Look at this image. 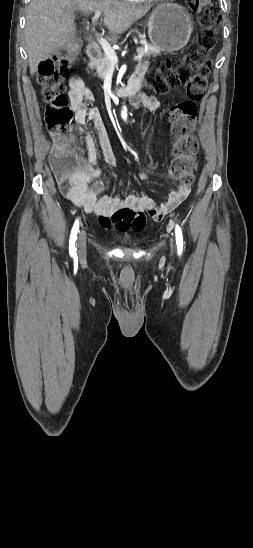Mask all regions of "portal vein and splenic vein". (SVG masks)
Instances as JSON below:
<instances>
[{
  "mask_svg": "<svg viewBox=\"0 0 253 548\" xmlns=\"http://www.w3.org/2000/svg\"><path fill=\"white\" fill-rule=\"evenodd\" d=\"M101 15V12L100 11H95V15L94 17L92 18L93 21H96ZM98 42L99 44L101 45L104 53L106 54V56L108 57V59L110 60L111 64L112 65H117L118 63V57L115 53V51L111 48L110 44L107 42V40H105L104 38L100 37L98 38ZM142 55L141 54H138L137 56H134V60H141L142 59Z\"/></svg>",
  "mask_w": 253,
  "mask_h": 548,
  "instance_id": "18ae733b",
  "label": "portal vein and splenic vein"
}]
</instances>
